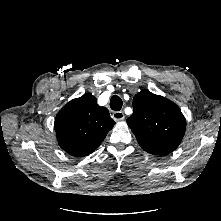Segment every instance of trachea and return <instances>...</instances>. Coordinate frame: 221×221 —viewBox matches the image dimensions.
<instances>
[{
  "mask_svg": "<svg viewBox=\"0 0 221 221\" xmlns=\"http://www.w3.org/2000/svg\"><path fill=\"white\" fill-rule=\"evenodd\" d=\"M123 105L122 99L118 95H114L110 99V107L114 111L121 110Z\"/></svg>",
  "mask_w": 221,
  "mask_h": 221,
  "instance_id": "trachea-1",
  "label": "trachea"
}]
</instances>
